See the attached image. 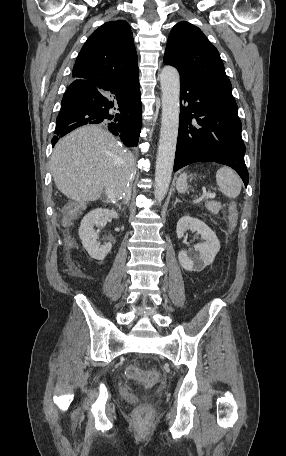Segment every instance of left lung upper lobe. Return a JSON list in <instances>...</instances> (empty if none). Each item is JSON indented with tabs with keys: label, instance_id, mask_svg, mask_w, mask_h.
I'll return each instance as SVG.
<instances>
[{
	"label": "left lung upper lobe",
	"instance_id": "5c2ea615",
	"mask_svg": "<svg viewBox=\"0 0 286 456\" xmlns=\"http://www.w3.org/2000/svg\"><path fill=\"white\" fill-rule=\"evenodd\" d=\"M164 63L186 78L235 102L218 50L203 32L188 22L176 24L169 35Z\"/></svg>",
	"mask_w": 286,
	"mask_h": 456
}]
</instances>
